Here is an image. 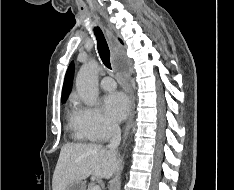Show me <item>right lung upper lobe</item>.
<instances>
[{"label": "right lung upper lobe", "instance_id": "obj_1", "mask_svg": "<svg viewBox=\"0 0 234 190\" xmlns=\"http://www.w3.org/2000/svg\"><path fill=\"white\" fill-rule=\"evenodd\" d=\"M73 75H74V63L72 62L70 64V66L68 67V70L66 72V76L64 79L63 90H62V101L63 102L66 101V99L68 98V95L71 91Z\"/></svg>", "mask_w": 234, "mask_h": 190}]
</instances>
